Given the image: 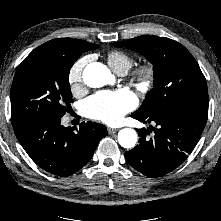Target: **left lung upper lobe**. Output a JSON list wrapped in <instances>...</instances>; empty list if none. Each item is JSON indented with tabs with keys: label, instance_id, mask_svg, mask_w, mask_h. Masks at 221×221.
<instances>
[{
	"label": "left lung upper lobe",
	"instance_id": "obj_1",
	"mask_svg": "<svg viewBox=\"0 0 221 221\" xmlns=\"http://www.w3.org/2000/svg\"><path fill=\"white\" fill-rule=\"evenodd\" d=\"M113 45L139 52L153 64L154 88L147 93L135 113L162 115L185 106L208 111L206 79L194 57L183 45L153 35H143Z\"/></svg>",
	"mask_w": 221,
	"mask_h": 221
}]
</instances>
